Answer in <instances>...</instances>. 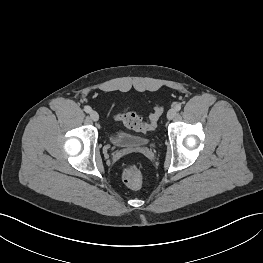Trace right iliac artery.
<instances>
[{"instance_id":"right-iliac-artery-1","label":"right iliac artery","mask_w":263,"mask_h":263,"mask_svg":"<svg viewBox=\"0 0 263 263\" xmlns=\"http://www.w3.org/2000/svg\"><path fill=\"white\" fill-rule=\"evenodd\" d=\"M84 111H85L86 113H90V112L92 111V109H91V107H89V106H85V107H84Z\"/></svg>"}]
</instances>
